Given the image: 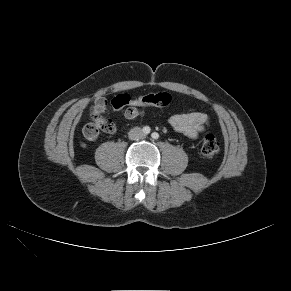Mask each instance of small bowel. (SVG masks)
<instances>
[{
    "instance_id": "obj_1",
    "label": "small bowel",
    "mask_w": 291,
    "mask_h": 291,
    "mask_svg": "<svg viewBox=\"0 0 291 291\" xmlns=\"http://www.w3.org/2000/svg\"><path fill=\"white\" fill-rule=\"evenodd\" d=\"M108 107L104 97L95 100L92 112L103 115ZM146 106L130 105L125 107L124 115L127 119H135L143 114L142 108ZM158 107V106H157ZM172 128L189 139H197L210 124V118L202 112H184L170 117Z\"/></svg>"
}]
</instances>
